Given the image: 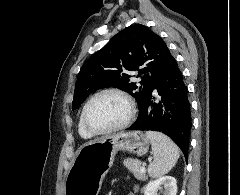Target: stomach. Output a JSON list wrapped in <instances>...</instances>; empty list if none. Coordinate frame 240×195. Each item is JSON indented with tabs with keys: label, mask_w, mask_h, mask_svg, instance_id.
I'll return each instance as SVG.
<instances>
[{
	"label": "stomach",
	"mask_w": 240,
	"mask_h": 195,
	"mask_svg": "<svg viewBox=\"0 0 240 195\" xmlns=\"http://www.w3.org/2000/svg\"><path fill=\"white\" fill-rule=\"evenodd\" d=\"M150 141L142 131H121L86 141L76 151L67 173L66 195H98L117 151L145 155Z\"/></svg>",
	"instance_id": "stomach-1"
}]
</instances>
